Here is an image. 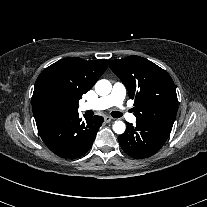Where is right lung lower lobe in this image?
Wrapping results in <instances>:
<instances>
[{"instance_id": "98d812e1", "label": "right lung lower lobe", "mask_w": 207, "mask_h": 207, "mask_svg": "<svg viewBox=\"0 0 207 207\" xmlns=\"http://www.w3.org/2000/svg\"><path fill=\"white\" fill-rule=\"evenodd\" d=\"M79 117V114L59 118L41 127L38 132L46 146L62 158L75 159L92 146L103 117Z\"/></svg>"}]
</instances>
